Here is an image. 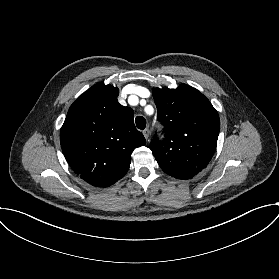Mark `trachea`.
Listing matches in <instances>:
<instances>
[{
  "instance_id": "obj_1",
  "label": "trachea",
  "mask_w": 279,
  "mask_h": 279,
  "mask_svg": "<svg viewBox=\"0 0 279 279\" xmlns=\"http://www.w3.org/2000/svg\"><path fill=\"white\" fill-rule=\"evenodd\" d=\"M135 122H136V125H137V127L139 129H141V130L145 129V127H146V120H145L144 117H142V116L136 117Z\"/></svg>"
}]
</instances>
